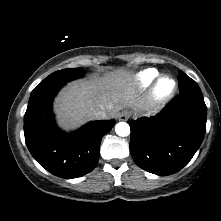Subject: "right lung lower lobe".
Returning a JSON list of instances; mask_svg holds the SVG:
<instances>
[{
	"label": "right lung lower lobe",
	"instance_id": "obj_1",
	"mask_svg": "<svg viewBox=\"0 0 221 221\" xmlns=\"http://www.w3.org/2000/svg\"><path fill=\"white\" fill-rule=\"evenodd\" d=\"M61 87L31 94L24 116V135L30 153L42 167L55 176L70 179L95 168L101 139L115 121H94L74 133L62 132L52 113L53 98Z\"/></svg>",
	"mask_w": 221,
	"mask_h": 221
}]
</instances>
